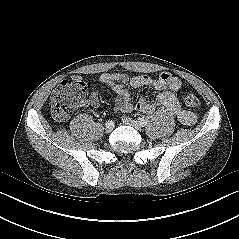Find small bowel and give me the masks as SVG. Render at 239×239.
Returning a JSON list of instances; mask_svg holds the SVG:
<instances>
[{
  "mask_svg": "<svg viewBox=\"0 0 239 239\" xmlns=\"http://www.w3.org/2000/svg\"><path fill=\"white\" fill-rule=\"evenodd\" d=\"M80 80V78H77ZM101 85L109 86L117 93L115 108L120 112H130L133 109L151 114L158 109H164L175 116L182 124L190 126L196 122V115L181 107L176 93L182 86V81L168 72L161 73L157 78L146 75H130L120 72L103 73L99 76ZM151 86L159 91L154 101L149 102L141 97L135 104L132 103L128 87L140 88ZM100 104L97 92H92L87 105L98 107Z\"/></svg>",
  "mask_w": 239,
  "mask_h": 239,
  "instance_id": "obj_1",
  "label": "small bowel"
}]
</instances>
